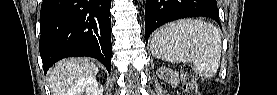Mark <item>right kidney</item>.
<instances>
[{"label": "right kidney", "instance_id": "ca27d5eb", "mask_svg": "<svg viewBox=\"0 0 277 95\" xmlns=\"http://www.w3.org/2000/svg\"><path fill=\"white\" fill-rule=\"evenodd\" d=\"M70 95H102L95 76L83 78L77 83Z\"/></svg>", "mask_w": 277, "mask_h": 95}]
</instances>
